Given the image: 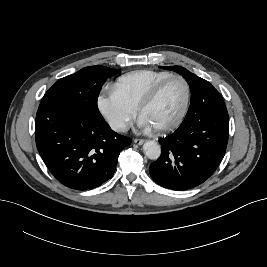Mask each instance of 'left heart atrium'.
Listing matches in <instances>:
<instances>
[{
	"mask_svg": "<svg viewBox=\"0 0 267 267\" xmlns=\"http://www.w3.org/2000/svg\"><path fill=\"white\" fill-rule=\"evenodd\" d=\"M139 126L142 128V129H150L151 128V125L148 123V121L144 118V117H140L139 119Z\"/></svg>",
	"mask_w": 267,
	"mask_h": 267,
	"instance_id": "left-heart-atrium-1",
	"label": "left heart atrium"
}]
</instances>
